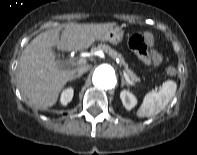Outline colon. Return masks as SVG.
Wrapping results in <instances>:
<instances>
[{
  "mask_svg": "<svg viewBox=\"0 0 197 155\" xmlns=\"http://www.w3.org/2000/svg\"><path fill=\"white\" fill-rule=\"evenodd\" d=\"M129 46L131 49L139 52L140 54L149 53L152 56L153 62H159L160 58L157 54V51L152 47L151 41L148 40V35H142L139 33H134L129 38ZM169 75L175 74V69L169 67L167 69Z\"/></svg>",
  "mask_w": 197,
  "mask_h": 155,
  "instance_id": "colon-1",
  "label": "colon"
}]
</instances>
